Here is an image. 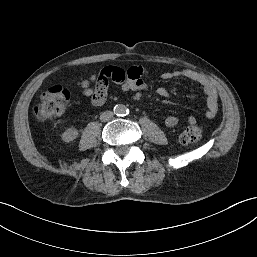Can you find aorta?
I'll return each instance as SVG.
<instances>
[{"instance_id": "aorta-1", "label": "aorta", "mask_w": 257, "mask_h": 257, "mask_svg": "<svg viewBox=\"0 0 257 257\" xmlns=\"http://www.w3.org/2000/svg\"><path fill=\"white\" fill-rule=\"evenodd\" d=\"M114 113L118 116H123V115H126L127 113V108L125 105L123 104H116L114 106Z\"/></svg>"}]
</instances>
